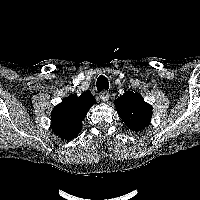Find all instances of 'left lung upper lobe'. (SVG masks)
Listing matches in <instances>:
<instances>
[{
  "mask_svg": "<svg viewBox=\"0 0 200 200\" xmlns=\"http://www.w3.org/2000/svg\"><path fill=\"white\" fill-rule=\"evenodd\" d=\"M115 105L120 118L129 129L139 131L149 125L152 106L139 93L128 91L117 98Z\"/></svg>",
  "mask_w": 200,
  "mask_h": 200,
  "instance_id": "1",
  "label": "left lung upper lobe"
}]
</instances>
